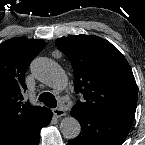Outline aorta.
<instances>
[{"label": "aorta", "instance_id": "762f6f07", "mask_svg": "<svg viewBox=\"0 0 145 145\" xmlns=\"http://www.w3.org/2000/svg\"><path fill=\"white\" fill-rule=\"evenodd\" d=\"M32 73L42 83L54 88L55 90H63L67 85V78L54 61L47 58H38L31 64ZM60 130L67 139L76 138L81 131L80 123L72 116L62 119Z\"/></svg>", "mask_w": 145, "mask_h": 145}]
</instances>
